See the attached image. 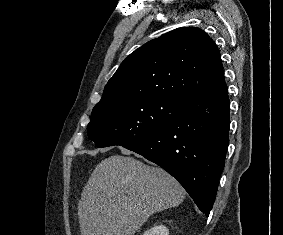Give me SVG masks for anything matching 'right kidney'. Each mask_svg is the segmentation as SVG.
Here are the masks:
<instances>
[{"mask_svg":"<svg viewBox=\"0 0 283 235\" xmlns=\"http://www.w3.org/2000/svg\"><path fill=\"white\" fill-rule=\"evenodd\" d=\"M143 235H169V230L165 226L159 225L150 228Z\"/></svg>","mask_w":283,"mask_h":235,"instance_id":"ca27d5eb","label":"right kidney"}]
</instances>
